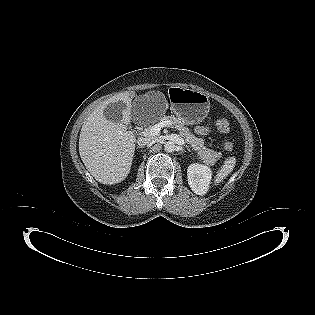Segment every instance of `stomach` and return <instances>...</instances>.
Returning <instances> with one entry per match:
<instances>
[{
	"label": "stomach",
	"instance_id": "0dacf381",
	"mask_svg": "<svg viewBox=\"0 0 315 315\" xmlns=\"http://www.w3.org/2000/svg\"><path fill=\"white\" fill-rule=\"evenodd\" d=\"M168 96L173 113L189 125L199 124L209 113L210 101L204 92L175 86Z\"/></svg>",
	"mask_w": 315,
	"mask_h": 315
}]
</instances>
